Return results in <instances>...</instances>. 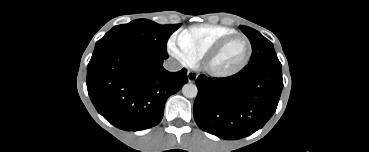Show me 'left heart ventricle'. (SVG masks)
I'll list each match as a JSON object with an SVG mask.
<instances>
[{"label":"left heart ventricle","instance_id":"obj_1","mask_svg":"<svg viewBox=\"0 0 369 152\" xmlns=\"http://www.w3.org/2000/svg\"><path fill=\"white\" fill-rule=\"evenodd\" d=\"M247 53V44L241 38L230 41L211 61V67L217 71L235 69L244 60Z\"/></svg>","mask_w":369,"mask_h":152}]
</instances>
